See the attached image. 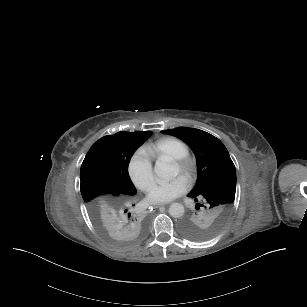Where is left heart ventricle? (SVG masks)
<instances>
[{
	"mask_svg": "<svg viewBox=\"0 0 307 307\" xmlns=\"http://www.w3.org/2000/svg\"><path fill=\"white\" fill-rule=\"evenodd\" d=\"M175 165H176V164H175ZM176 171H177V173L179 172V169H178L177 165H176Z\"/></svg>",
	"mask_w": 307,
	"mask_h": 307,
	"instance_id": "left-heart-ventricle-1",
	"label": "left heart ventricle"
}]
</instances>
